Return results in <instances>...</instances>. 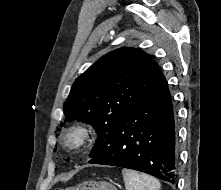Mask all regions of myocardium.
<instances>
[{
  "label": "myocardium",
  "instance_id": "f54148a6",
  "mask_svg": "<svg viewBox=\"0 0 221 190\" xmlns=\"http://www.w3.org/2000/svg\"><path fill=\"white\" fill-rule=\"evenodd\" d=\"M91 136V127L87 123L79 122L71 125L66 130L63 142L71 150H80L86 147Z\"/></svg>",
  "mask_w": 221,
  "mask_h": 190
}]
</instances>
